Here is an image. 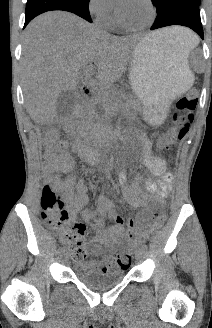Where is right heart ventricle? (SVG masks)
Listing matches in <instances>:
<instances>
[{
  "label": "right heart ventricle",
  "instance_id": "right-heart-ventricle-1",
  "mask_svg": "<svg viewBox=\"0 0 212 328\" xmlns=\"http://www.w3.org/2000/svg\"><path fill=\"white\" fill-rule=\"evenodd\" d=\"M117 20H115L114 18H110L108 21L105 22L106 25H115L117 24Z\"/></svg>",
  "mask_w": 212,
  "mask_h": 328
}]
</instances>
